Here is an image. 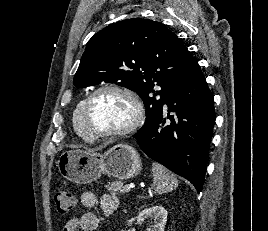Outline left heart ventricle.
<instances>
[{"label":"left heart ventricle","instance_id":"b2bd125f","mask_svg":"<svg viewBox=\"0 0 268 231\" xmlns=\"http://www.w3.org/2000/svg\"><path fill=\"white\" fill-rule=\"evenodd\" d=\"M134 116L131 102L113 92H102L91 102L89 123L95 131L116 130L127 125Z\"/></svg>","mask_w":268,"mask_h":231}]
</instances>
